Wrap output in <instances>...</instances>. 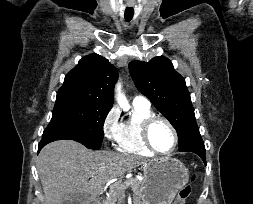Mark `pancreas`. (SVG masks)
Listing matches in <instances>:
<instances>
[{
  "instance_id": "cf45deb5",
  "label": "pancreas",
  "mask_w": 253,
  "mask_h": 204,
  "mask_svg": "<svg viewBox=\"0 0 253 204\" xmlns=\"http://www.w3.org/2000/svg\"><path fill=\"white\" fill-rule=\"evenodd\" d=\"M131 179H132V182L130 186L133 192L138 195L140 192L141 181L137 179L136 177H133ZM124 182L119 181L111 185L110 190H109V197L106 198V200L102 204H116V202H118L117 204H120V202L125 197V188L121 186V184H123Z\"/></svg>"
}]
</instances>
